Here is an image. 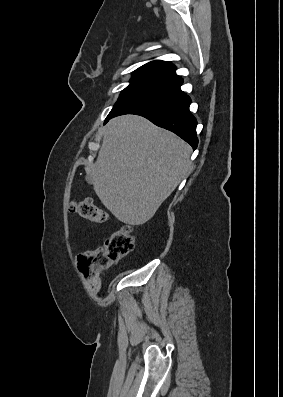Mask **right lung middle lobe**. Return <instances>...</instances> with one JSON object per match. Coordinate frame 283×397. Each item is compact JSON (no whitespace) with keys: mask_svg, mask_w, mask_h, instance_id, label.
<instances>
[{"mask_svg":"<svg viewBox=\"0 0 283 397\" xmlns=\"http://www.w3.org/2000/svg\"><path fill=\"white\" fill-rule=\"evenodd\" d=\"M169 86L168 82L150 79L142 74H133L130 84L121 92L105 123L127 106Z\"/></svg>","mask_w":283,"mask_h":397,"instance_id":"1","label":"right lung middle lobe"}]
</instances>
